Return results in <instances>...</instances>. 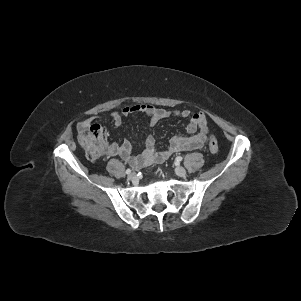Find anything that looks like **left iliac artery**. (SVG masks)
Listing matches in <instances>:
<instances>
[{"instance_id": "left-iliac-artery-1", "label": "left iliac artery", "mask_w": 301, "mask_h": 301, "mask_svg": "<svg viewBox=\"0 0 301 301\" xmlns=\"http://www.w3.org/2000/svg\"><path fill=\"white\" fill-rule=\"evenodd\" d=\"M182 160H183V158L181 156L176 157L177 162H181Z\"/></svg>"}]
</instances>
